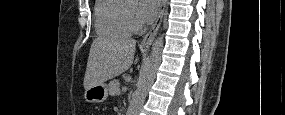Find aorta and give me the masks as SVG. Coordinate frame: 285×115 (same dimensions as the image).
Here are the masks:
<instances>
[{
	"instance_id": "762f6f07",
	"label": "aorta",
	"mask_w": 285,
	"mask_h": 115,
	"mask_svg": "<svg viewBox=\"0 0 285 115\" xmlns=\"http://www.w3.org/2000/svg\"><path fill=\"white\" fill-rule=\"evenodd\" d=\"M162 50L163 37L160 36L158 39L155 40L152 46L149 62L145 67L137 85V89L132 96L130 105L128 107L127 115L139 114L145 102L148 91L155 80L156 72L161 62Z\"/></svg>"
}]
</instances>
